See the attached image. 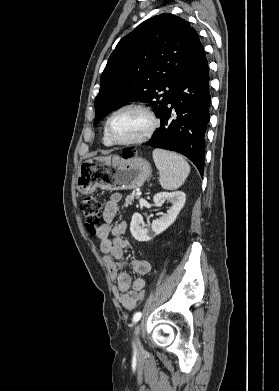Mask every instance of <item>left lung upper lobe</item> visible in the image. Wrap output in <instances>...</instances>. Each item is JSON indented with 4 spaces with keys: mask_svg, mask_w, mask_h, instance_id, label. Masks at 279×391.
Here are the masks:
<instances>
[{
    "mask_svg": "<svg viewBox=\"0 0 279 391\" xmlns=\"http://www.w3.org/2000/svg\"><path fill=\"white\" fill-rule=\"evenodd\" d=\"M202 50L197 32L180 17L164 13L141 23L109 57L95 100L94 125L132 101L151 104L160 117Z\"/></svg>",
    "mask_w": 279,
    "mask_h": 391,
    "instance_id": "1",
    "label": "left lung upper lobe"
}]
</instances>
